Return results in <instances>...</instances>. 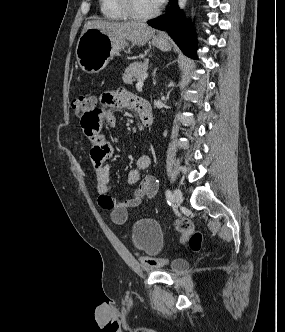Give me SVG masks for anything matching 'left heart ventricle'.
<instances>
[{
    "mask_svg": "<svg viewBox=\"0 0 285 332\" xmlns=\"http://www.w3.org/2000/svg\"><path fill=\"white\" fill-rule=\"evenodd\" d=\"M134 2L137 11L142 14L150 13L157 8L153 0H134Z\"/></svg>",
    "mask_w": 285,
    "mask_h": 332,
    "instance_id": "left-heart-ventricle-1",
    "label": "left heart ventricle"
}]
</instances>
